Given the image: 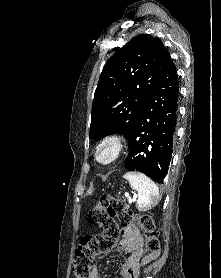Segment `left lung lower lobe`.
<instances>
[{"instance_id":"1","label":"left lung lower lobe","mask_w":221,"mask_h":278,"mask_svg":"<svg viewBox=\"0 0 221 278\" xmlns=\"http://www.w3.org/2000/svg\"><path fill=\"white\" fill-rule=\"evenodd\" d=\"M177 77L170 60L127 138L125 168L140 171L158 183H163L172 155L178 111Z\"/></svg>"}]
</instances>
